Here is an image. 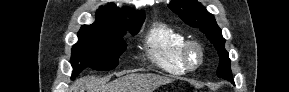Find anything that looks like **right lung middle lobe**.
<instances>
[{"mask_svg":"<svg viewBox=\"0 0 289 92\" xmlns=\"http://www.w3.org/2000/svg\"><path fill=\"white\" fill-rule=\"evenodd\" d=\"M141 25L125 29L135 35L139 32ZM125 29L98 30L81 28L78 32L79 41L71 50V63L74 68L72 79L87 66L96 70L114 69L118 65L121 54L127 47L122 40Z\"/></svg>","mask_w":289,"mask_h":92,"instance_id":"dd1d6c3e","label":"right lung middle lobe"}]
</instances>
